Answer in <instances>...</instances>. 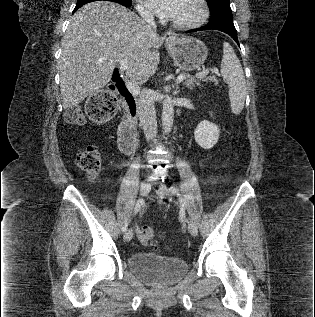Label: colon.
<instances>
[{
	"label": "colon",
	"mask_w": 315,
	"mask_h": 317,
	"mask_svg": "<svg viewBox=\"0 0 315 317\" xmlns=\"http://www.w3.org/2000/svg\"><path fill=\"white\" fill-rule=\"evenodd\" d=\"M117 110V97L112 89H104L93 96L86 103L87 116L98 122L110 120ZM65 122L71 126L82 128L85 125V115L78 106L69 107L64 114ZM76 165L90 180H96L101 172V155L97 148L88 145L81 149L75 158ZM140 240L148 245H155V233L150 226H143L140 230Z\"/></svg>",
	"instance_id": "5ec220e1"
}]
</instances>
